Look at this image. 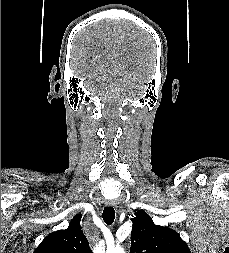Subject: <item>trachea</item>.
Masks as SVG:
<instances>
[{
	"label": "trachea",
	"mask_w": 229,
	"mask_h": 253,
	"mask_svg": "<svg viewBox=\"0 0 229 253\" xmlns=\"http://www.w3.org/2000/svg\"><path fill=\"white\" fill-rule=\"evenodd\" d=\"M103 220L107 225H112L115 219V211L113 207H105L103 210Z\"/></svg>",
	"instance_id": "obj_1"
}]
</instances>
